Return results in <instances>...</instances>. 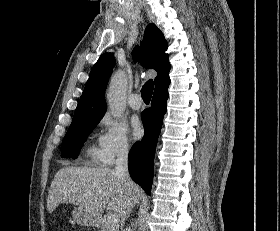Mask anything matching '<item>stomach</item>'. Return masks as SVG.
I'll return each instance as SVG.
<instances>
[{"label":"stomach","instance_id":"obj_1","mask_svg":"<svg viewBox=\"0 0 280 231\" xmlns=\"http://www.w3.org/2000/svg\"><path fill=\"white\" fill-rule=\"evenodd\" d=\"M72 217L79 225H95V227L99 225L98 219H93L92 215L83 207H74Z\"/></svg>","mask_w":280,"mask_h":231}]
</instances>
